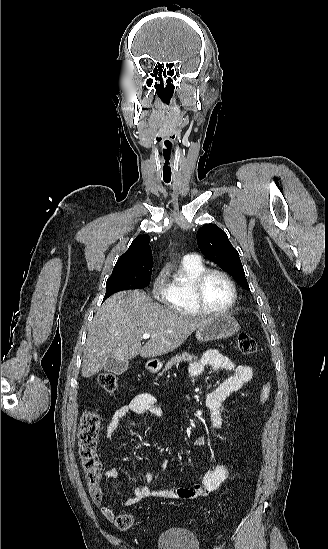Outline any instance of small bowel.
Returning <instances> with one entry per match:
<instances>
[{"label":"small bowel","instance_id":"small-bowel-1","mask_svg":"<svg viewBox=\"0 0 328 549\" xmlns=\"http://www.w3.org/2000/svg\"><path fill=\"white\" fill-rule=\"evenodd\" d=\"M209 366L217 371H229L231 376L224 380L215 390L211 391L205 400L206 408L209 414L210 425L214 429H219L222 426V403L232 394L239 391L245 384L253 378V370L249 365L239 364L230 356L223 354L217 350L206 351L199 360L192 362L189 365V374L192 377H199L203 374L205 367ZM130 414L134 415H153L163 419V412L157 407L155 397L150 393H141L135 396L130 402L119 407L111 416L106 429L105 436L114 440L119 428V425ZM207 443L205 436L197 437L193 445L195 447H204ZM167 465V460L161 463L160 469L149 471L144 475L146 484L136 487L133 494L129 497L124 505L132 506L144 498L150 496H159L167 499L175 500H192L200 497H206L210 493L216 491L229 477V470L225 465H216L207 470L201 479L191 486H174L153 490L150 485L157 479L159 471ZM105 478L114 480L117 478V471L109 469L105 473ZM102 513L110 519L114 515L112 509L103 506Z\"/></svg>","mask_w":328,"mask_h":549}]
</instances>
